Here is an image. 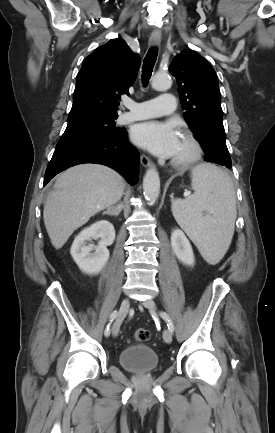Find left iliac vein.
<instances>
[{"label": "left iliac vein", "mask_w": 275, "mask_h": 433, "mask_svg": "<svg viewBox=\"0 0 275 433\" xmlns=\"http://www.w3.org/2000/svg\"><path fill=\"white\" fill-rule=\"evenodd\" d=\"M142 305L145 308H147L150 311H152V312H154L156 310V304H155V302L152 299L145 300L142 303ZM163 339L168 344L172 342V332L169 329H167V330L164 331V333H163Z\"/></svg>", "instance_id": "left-iliac-vein-1"}]
</instances>
